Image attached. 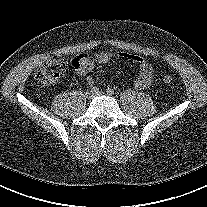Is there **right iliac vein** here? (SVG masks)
<instances>
[{
    "mask_svg": "<svg viewBox=\"0 0 207 207\" xmlns=\"http://www.w3.org/2000/svg\"><path fill=\"white\" fill-rule=\"evenodd\" d=\"M85 96H86V98L90 99V98L93 97V93L90 92V91H87V92L85 93Z\"/></svg>",
    "mask_w": 207,
    "mask_h": 207,
    "instance_id": "right-iliac-vein-1",
    "label": "right iliac vein"
}]
</instances>
